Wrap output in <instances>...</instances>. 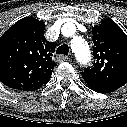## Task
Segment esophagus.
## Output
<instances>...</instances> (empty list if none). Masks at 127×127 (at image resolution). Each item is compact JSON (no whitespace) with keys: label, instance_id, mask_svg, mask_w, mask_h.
<instances>
[{"label":"esophagus","instance_id":"1","mask_svg":"<svg viewBox=\"0 0 127 127\" xmlns=\"http://www.w3.org/2000/svg\"><path fill=\"white\" fill-rule=\"evenodd\" d=\"M68 60H69L68 56H64V55H58L57 56V61H59V62H65V61H68Z\"/></svg>","mask_w":127,"mask_h":127}]
</instances>
